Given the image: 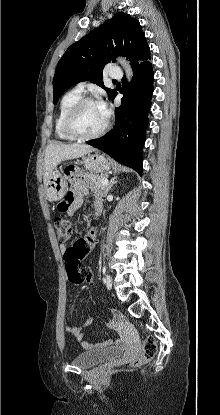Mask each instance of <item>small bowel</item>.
<instances>
[{"label": "small bowel", "mask_w": 220, "mask_h": 415, "mask_svg": "<svg viewBox=\"0 0 220 415\" xmlns=\"http://www.w3.org/2000/svg\"><path fill=\"white\" fill-rule=\"evenodd\" d=\"M88 187L85 186L82 183H77L75 185V189L70 191L66 196V207L62 209V211H65L70 216H76L78 209L83 204L84 198L88 193ZM93 207H94V214L99 215L102 211V199H101V193L98 190H93ZM97 235H98V229L96 227L92 228L87 235L82 238L85 240V242L88 244L90 250L95 247L97 243ZM61 252L64 253L66 251V247L64 245H61ZM93 323L92 319H88L85 322V325H91ZM67 332L72 334L77 341H79L84 349L92 350V349H103L106 347H110L112 345L117 344L114 340H105L102 342H97L95 344L91 343L89 340H87L84 336L83 330L79 326L75 325H67L66 326Z\"/></svg>", "instance_id": "small-bowel-1"}]
</instances>
